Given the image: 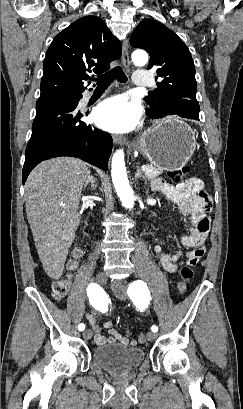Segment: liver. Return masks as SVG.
Segmentation results:
<instances>
[{
    "instance_id": "1",
    "label": "liver",
    "mask_w": 243,
    "mask_h": 409,
    "mask_svg": "<svg viewBox=\"0 0 243 409\" xmlns=\"http://www.w3.org/2000/svg\"><path fill=\"white\" fill-rule=\"evenodd\" d=\"M90 171L85 162L57 157L37 165L25 183L26 214L46 274L62 276L80 224L82 188Z\"/></svg>"
}]
</instances>
